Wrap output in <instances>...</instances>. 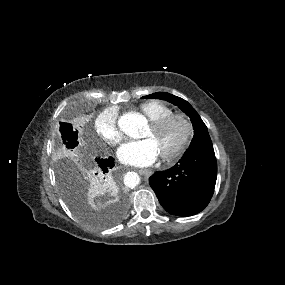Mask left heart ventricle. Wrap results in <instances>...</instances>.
<instances>
[{
  "mask_svg": "<svg viewBox=\"0 0 285 285\" xmlns=\"http://www.w3.org/2000/svg\"><path fill=\"white\" fill-rule=\"evenodd\" d=\"M183 135V126L179 122L171 123L161 132L154 131L151 126L147 129L144 138H152L162 154L163 152L172 150L180 141Z\"/></svg>",
  "mask_w": 285,
  "mask_h": 285,
  "instance_id": "left-heart-ventricle-1",
  "label": "left heart ventricle"
}]
</instances>
